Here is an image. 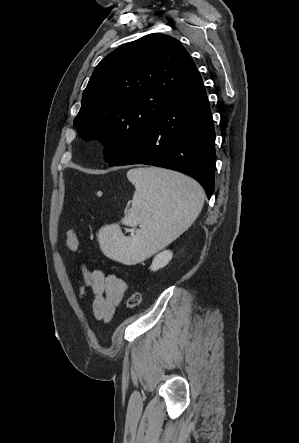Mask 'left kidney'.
<instances>
[{"label": "left kidney", "mask_w": 299, "mask_h": 443, "mask_svg": "<svg viewBox=\"0 0 299 443\" xmlns=\"http://www.w3.org/2000/svg\"><path fill=\"white\" fill-rule=\"evenodd\" d=\"M173 253L170 250H164L162 252H160L159 254H157L153 261H152V265L150 266V269L152 271H157L160 268L166 266L170 260L172 259Z\"/></svg>", "instance_id": "left-kidney-1"}]
</instances>
